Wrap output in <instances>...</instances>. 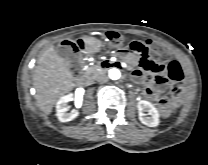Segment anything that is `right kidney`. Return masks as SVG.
<instances>
[{
    "label": "right kidney",
    "mask_w": 208,
    "mask_h": 165,
    "mask_svg": "<svg viewBox=\"0 0 208 165\" xmlns=\"http://www.w3.org/2000/svg\"><path fill=\"white\" fill-rule=\"evenodd\" d=\"M83 88H77L75 96L72 93L62 96L56 103V116L61 122H68L75 119L79 112L77 110L68 111V102L75 100L76 108H80L83 102Z\"/></svg>",
    "instance_id": "right-kidney-1"
}]
</instances>
